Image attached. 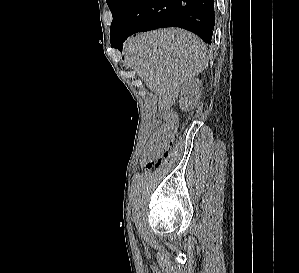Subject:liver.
<instances>
[{"label": "liver", "mask_w": 299, "mask_h": 273, "mask_svg": "<svg viewBox=\"0 0 299 273\" xmlns=\"http://www.w3.org/2000/svg\"><path fill=\"white\" fill-rule=\"evenodd\" d=\"M124 54L128 66L158 96L161 110L175 104L182 86L208 66L205 43L178 28L137 34L126 42Z\"/></svg>", "instance_id": "liver-1"}]
</instances>
